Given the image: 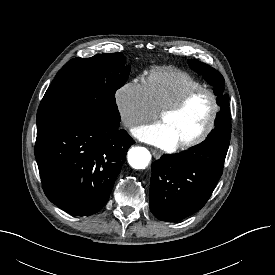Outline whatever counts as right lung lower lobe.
Listing matches in <instances>:
<instances>
[{
    "mask_svg": "<svg viewBox=\"0 0 275 275\" xmlns=\"http://www.w3.org/2000/svg\"><path fill=\"white\" fill-rule=\"evenodd\" d=\"M132 144L119 125L93 119L37 134L35 157L47 198L67 213L95 214L108 201Z\"/></svg>",
    "mask_w": 275,
    "mask_h": 275,
    "instance_id": "1",
    "label": "right lung lower lobe"
}]
</instances>
